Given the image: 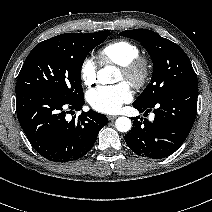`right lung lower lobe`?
Instances as JSON below:
<instances>
[{
	"label": "right lung lower lobe",
	"instance_id": "98d812e1",
	"mask_svg": "<svg viewBox=\"0 0 212 212\" xmlns=\"http://www.w3.org/2000/svg\"><path fill=\"white\" fill-rule=\"evenodd\" d=\"M83 100V97L68 100L42 90L16 93L18 120L41 156L54 162H68L90 151L108 119L90 110L82 112L78 119L67 121L65 110H81Z\"/></svg>",
	"mask_w": 212,
	"mask_h": 212
}]
</instances>
